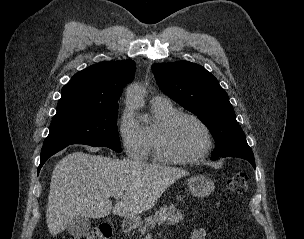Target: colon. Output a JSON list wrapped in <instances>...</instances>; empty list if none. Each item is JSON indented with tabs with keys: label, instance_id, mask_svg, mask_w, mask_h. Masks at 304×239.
I'll return each mask as SVG.
<instances>
[{
	"label": "colon",
	"instance_id": "1",
	"mask_svg": "<svg viewBox=\"0 0 304 239\" xmlns=\"http://www.w3.org/2000/svg\"><path fill=\"white\" fill-rule=\"evenodd\" d=\"M247 188V175L237 173L231 176L226 182V189L232 195H243ZM111 237V227L107 224H102L92 228L88 232L70 239H109Z\"/></svg>",
	"mask_w": 304,
	"mask_h": 239
}]
</instances>
